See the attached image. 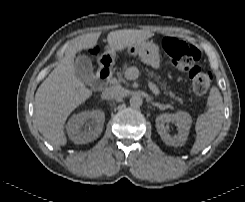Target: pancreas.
I'll use <instances>...</instances> for the list:
<instances>
[{
    "label": "pancreas",
    "instance_id": "obj_1",
    "mask_svg": "<svg viewBox=\"0 0 245 202\" xmlns=\"http://www.w3.org/2000/svg\"><path fill=\"white\" fill-rule=\"evenodd\" d=\"M128 68H127V66H124V68H123V72H118L117 73V79H118V81H121V82H124L125 80H124V77H123V73H124V70H127ZM148 76H153V73L152 72H149L148 73ZM165 94L166 95H169L170 97H172V98H174V99H176V100H178V101H181V99L179 98V97H176L175 96V94L172 92V91H166L165 90Z\"/></svg>",
    "mask_w": 245,
    "mask_h": 202
}]
</instances>
